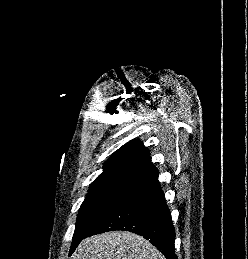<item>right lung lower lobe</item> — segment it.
<instances>
[{
    "label": "right lung lower lobe",
    "instance_id": "right-lung-lower-lobe-1",
    "mask_svg": "<svg viewBox=\"0 0 248 259\" xmlns=\"http://www.w3.org/2000/svg\"><path fill=\"white\" fill-rule=\"evenodd\" d=\"M113 230L141 235L167 259H177L174 254L175 229L158 173L132 185L84 238ZM80 242L70 249V255Z\"/></svg>",
    "mask_w": 248,
    "mask_h": 259
}]
</instances>
